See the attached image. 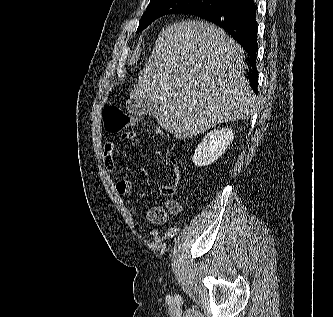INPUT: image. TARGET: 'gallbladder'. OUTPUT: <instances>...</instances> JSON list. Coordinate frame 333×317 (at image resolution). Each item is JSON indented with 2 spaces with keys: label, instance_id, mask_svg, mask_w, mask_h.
Instances as JSON below:
<instances>
[{
  "label": "gallbladder",
  "instance_id": "1",
  "mask_svg": "<svg viewBox=\"0 0 333 317\" xmlns=\"http://www.w3.org/2000/svg\"><path fill=\"white\" fill-rule=\"evenodd\" d=\"M127 111L134 116L142 117L152 115L155 110V102L146 99H129L126 103Z\"/></svg>",
  "mask_w": 333,
  "mask_h": 317
}]
</instances>
